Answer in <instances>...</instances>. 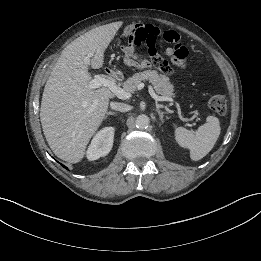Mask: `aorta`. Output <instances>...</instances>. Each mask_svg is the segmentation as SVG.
Instances as JSON below:
<instances>
[{
  "label": "aorta",
  "mask_w": 261,
  "mask_h": 261,
  "mask_svg": "<svg viewBox=\"0 0 261 261\" xmlns=\"http://www.w3.org/2000/svg\"><path fill=\"white\" fill-rule=\"evenodd\" d=\"M150 119L147 115L141 114L136 117L135 124L138 129H145L148 127Z\"/></svg>",
  "instance_id": "1"
}]
</instances>
